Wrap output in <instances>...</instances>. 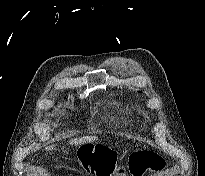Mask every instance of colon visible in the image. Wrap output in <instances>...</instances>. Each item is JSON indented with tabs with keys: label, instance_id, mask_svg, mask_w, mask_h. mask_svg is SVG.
<instances>
[{
	"label": "colon",
	"instance_id": "obj_1",
	"mask_svg": "<svg viewBox=\"0 0 205 176\" xmlns=\"http://www.w3.org/2000/svg\"><path fill=\"white\" fill-rule=\"evenodd\" d=\"M84 168L95 176H123L128 171L132 176H144L164 167L162 158L152 150H139L130 155L126 168L117 165L112 153L104 147H94L79 156Z\"/></svg>",
	"mask_w": 205,
	"mask_h": 176
}]
</instances>
